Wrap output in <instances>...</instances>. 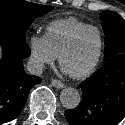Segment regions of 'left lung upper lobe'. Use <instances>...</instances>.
<instances>
[{"mask_svg": "<svg viewBox=\"0 0 125 125\" xmlns=\"http://www.w3.org/2000/svg\"><path fill=\"white\" fill-rule=\"evenodd\" d=\"M100 18L105 34V59L125 53V20L113 11H104Z\"/></svg>", "mask_w": 125, "mask_h": 125, "instance_id": "1", "label": "left lung upper lobe"}]
</instances>
